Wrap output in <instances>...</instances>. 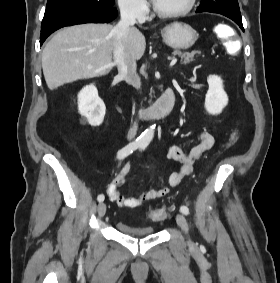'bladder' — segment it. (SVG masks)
<instances>
[{"label":"bladder","mask_w":280,"mask_h":283,"mask_svg":"<svg viewBox=\"0 0 280 283\" xmlns=\"http://www.w3.org/2000/svg\"><path fill=\"white\" fill-rule=\"evenodd\" d=\"M116 228L121 234L129 237H146L155 233L154 226L133 225L122 221L116 223Z\"/></svg>","instance_id":"obj_1"}]
</instances>
